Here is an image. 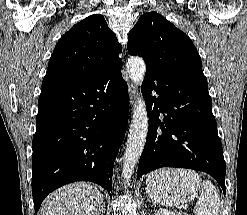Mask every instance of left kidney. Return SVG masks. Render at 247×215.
<instances>
[{"label": "left kidney", "mask_w": 247, "mask_h": 215, "mask_svg": "<svg viewBox=\"0 0 247 215\" xmlns=\"http://www.w3.org/2000/svg\"><path fill=\"white\" fill-rule=\"evenodd\" d=\"M155 215H178V214L177 213L175 214V212H172L170 210L160 208Z\"/></svg>", "instance_id": "1"}]
</instances>
